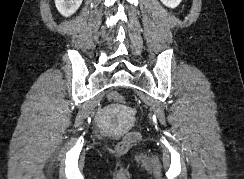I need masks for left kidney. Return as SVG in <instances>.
<instances>
[{
    "mask_svg": "<svg viewBox=\"0 0 244 179\" xmlns=\"http://www.w3.org/2000/svg\"><path fill=\"white\" fill-rule=\"evenodd\" d=\"M167 8H177L182 0H160Z\"/></svg>",
    "mask_w": 244,
    "mask_h": 179,
    "instance_id": "1",
    "label": "left kidney"
}]
</instances>
